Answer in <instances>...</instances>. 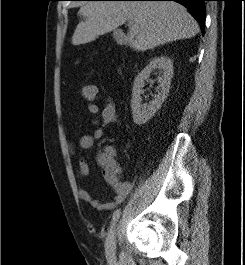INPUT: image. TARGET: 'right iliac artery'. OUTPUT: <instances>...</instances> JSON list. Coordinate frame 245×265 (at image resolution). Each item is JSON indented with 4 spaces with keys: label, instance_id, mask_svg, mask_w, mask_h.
Here are the masks:
<instances>
[{
    "label": "right iliac artery",
    "instance_id": "obj_1",
    "mask_svg": "<svg viewBox=\"0 0 245 265\" xmlns=\"http://www.w3.org/2000/svg\"><path fill=\"white\" fill-rule=\"evenodd\" d=\"M121 211L120 209H117L112 216V220H111V225H114V223L118 220V218L120 217Z\"/></svg>",
    "mask_w": 245,
    "mask_h": 265
}]
</instances>
